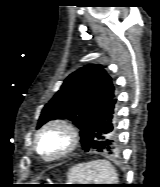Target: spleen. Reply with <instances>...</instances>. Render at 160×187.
Listing matches in <instances>:
<instances>
[{"instance_id":"1","label":"spleen","mask_w":160,"mask_h":187,"mask_svg":"<svg viewBox=\"0 0 160 187\" xmlns=\"http://www.w3.org/2000/svg\"><path fill=\"white\" fill-rule=\"evenodd\" d=\"M116 170L107 160H95L73 166L68 172L69 184H116Z\"/></svg>"}]
</instances>
